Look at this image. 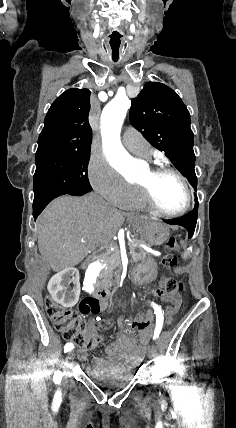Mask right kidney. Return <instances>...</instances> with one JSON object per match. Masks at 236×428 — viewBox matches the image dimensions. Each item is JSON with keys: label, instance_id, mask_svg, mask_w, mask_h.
I'll return each mask as SVG.
<instances>
[{"label": "right kidney", "instance_id": "obj_1", "mask_svg": "<svg viewBox=\"0 0 236 428\" xmlns=\"http://www.w3.org/2000/svg\"><path fill=\"white\" fill-rule=\"evenodd\" d=\"M68 278H79L78 270L74 268L60 269L59 272L54 273L51 282H49L50 294L54 288L56 291L52 293V300L56 302L57 306H64V308L75 306L80 294L78 280H75L76 283H66ZM51 286L53 287L51 288Z\"/></svg>", "mask_w": 236, "mask_h": 428}]
</instances>
